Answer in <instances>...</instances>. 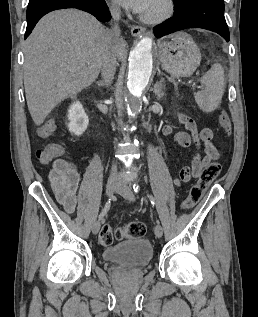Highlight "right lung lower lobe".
Here are the masks:
<instances>
[{
  "mask_svg": "<svg viewBox=\"0 0 258 317\" xmlns=\"http://www.w3.org/2000/svg\"><path fill=\"white\" fill-rule=\"evenodd\" d=\"M65 8H77L94 15L99 21L106 22L111 18L105 0H29L26 17L27 28L25 39L32 32L36 23L47 13Z\"/></svg>",
  "mask_w": 258,
  "mask_h": 317,
  "instance_id": "obj_1",
  "label": "right lung lower lobe"
}]
</instances>
